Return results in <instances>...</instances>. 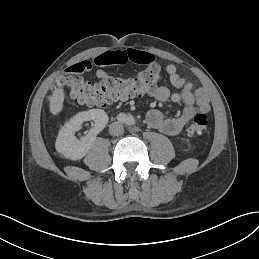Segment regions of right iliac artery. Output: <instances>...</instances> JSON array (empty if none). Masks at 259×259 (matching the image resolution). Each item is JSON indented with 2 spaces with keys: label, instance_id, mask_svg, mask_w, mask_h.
I'll return each instance as SVG.
<instances>
[{
  "label": "right iliac artery",
  "instance_id": "82829eb1",
  "mask_svg": "<svg viewBox=\"0 0 259 259\" xmlns=\"http://www.w3.org/2000/svg\"><path fill=\"white\" fill-rule=\"evenodd\" d=\"M126 119H127V117H126V115L123 114V113H120V114L117 115V120H118L119 122L124 123V122H126Z\"/></svg>",
  "mask_w": 259,
  "mask_h": 259
}]
</instances>
